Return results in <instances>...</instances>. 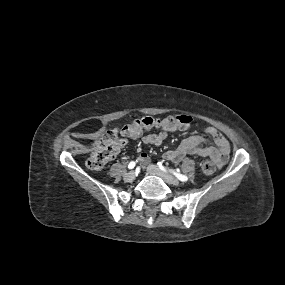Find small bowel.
<instances>
[{"instance_id":"1","label":"small bowel","mask_w":285,"mask_h":285,"mask_svg":"<svg viewBox=\"0 0 285 285\" xmlns=\"http://www.w3.org/2000/svg\"><path fill=\"white\" fill-rule=\"evenodd\" d=\"M156 129L157 132H149ZM147 133L141 132L142 142L146 145H161L168 137V134L176 131L173 127H167L163 124H157L152 128L146 129ZM204 132L213 139L215 146H203L205 138L199 134H192L182 140L180 145L165 153V158L175 164H179L187 155L195 154L200 157L211 158L218 167H222L229 155L230 146L227 139L213 127L205 128ZM143 163L149 161L150 157L146 153L140 154Z\"/></svg>"}]
</instances>
